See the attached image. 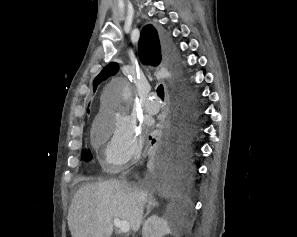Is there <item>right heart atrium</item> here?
Returning a JSON list of instances; mask_svg holds the SVG:
<instances>
[{
  "instance_id": "obj_1",
  "label": "right heart atrium",
  "mask_w": 297,
  "mask_h": 237,
  "mask_svg": "<svg viewBox=\"0 0 297 237\" xmlns=\"http://www.w3.org/2000/svg\"><path fill=\"white\" fill-rule=\"evenodd\" d=\"M94 140L104 145L106 166L117 171L140 159L143 140L138 123L120 110L103 111L94 126Z\"/></svg>"
}]
</instances>
